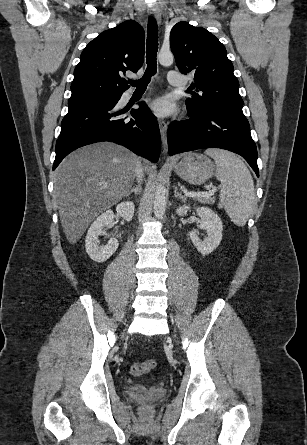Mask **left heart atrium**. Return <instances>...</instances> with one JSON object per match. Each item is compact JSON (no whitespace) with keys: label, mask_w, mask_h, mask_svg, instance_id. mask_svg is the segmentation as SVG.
<instances>
[{"label":"left heart atrium","mask_w":307,"mask_h":445,"mask_svg":"<svg viewBox=\"0 0 307 445\" xmlns=\"http://www.w3.org/2000/svg\"><path fill=\"white\" fill-rule=\"evenodd\" d=\"M152 110L159 116H167L172 111V103L168 97H161L151 105Z\"/></svg>","instance_id":"obj_1"}]
</instances>
